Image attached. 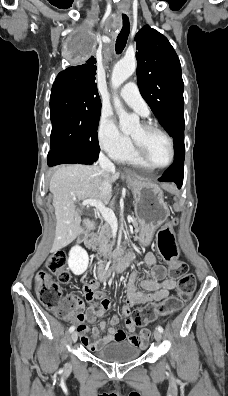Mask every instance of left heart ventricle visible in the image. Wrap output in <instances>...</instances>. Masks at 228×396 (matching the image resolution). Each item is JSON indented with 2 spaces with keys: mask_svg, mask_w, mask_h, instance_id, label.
I'll list each match as a JSON object with an SVG mask.
<instances>
[{
  "mask_svg": "<svg viewBox=\"0 0 228 396\" xmlns=\"http://www.w3.org/2000/svg\"><path fill=\"white\" fill-rule=\"evenodd\" d=\"M130 136L142 146L153 165L160 166L168 162L170 145L163 135L156 131H147L139 124L132 129Z\"/></svg>",
  "mask_w": 228,
  "mask_h": 396,
  "instance_id": "b2bd125f",
  "label": "left heart ventricle"
}]
</instances>
